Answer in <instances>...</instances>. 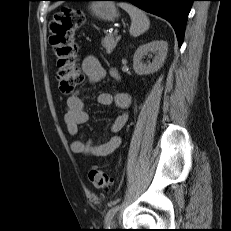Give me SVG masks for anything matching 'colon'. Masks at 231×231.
Returning a JSON list of instances; mask_svg holds the SVG:
<instances>
[{
	"instance_id": "1",
	"label": "colon",
	"mask_w": 231,
	"mask_h": 231,
	"mask_svg": "<svg viewBox=\"0 0 231 231\" xmlns=\"http://www.w3.org/2000/svg\"><path fill=\"white\" fill-rule=\"evenodd\" d=\"M85 22V15L80 10L64 8L57 12L50 25V44L57 59V79L60 91L70 94L83 81V72L78 66L76 31ZM88 177L97 188H107L111 179L106 171L92 167Z\"/></svg>"
}]
</instances>
